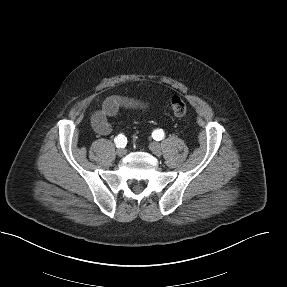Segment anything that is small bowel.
Listing matches in <instances>:
<instances>
[{"label": "small bowel", "mask_w": 287, "mask_h": 287, "mask_svg": "<svg viewBox=\"0 0 287 287\" xmlns=\"http://www.w3.org/2000/svg\"><path fill=\"white\" fill-rule=\"evenodd\" d=\"M148 102L126 96L113 95L105 99L102 107L96 110L91 117V125L99 135H108L112 131L110 118L118 114L121 109L144 110Z\"/></svg>", "instance_id": "obj_1"}]
</instances>
